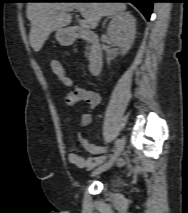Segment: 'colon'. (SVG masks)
<instances>
[{
    "mask_svg": "<svg viewBox=\"0 0 188 213\" xmlns=\"http://www.w3.org/2000/svg\"><path fill=\"white\" fill-rule=\"evenodd\" d=\"M50 66H51L52 71L54 72V74L58 78H60L61 80L65 81L67 83H69V79H68V77L66 75L65 69H64L63 65L59 61L52 60L50 62Z\"/></svg>",
    "mask_w": 188,
    "mask_h": 213,
    "instance_id": "colon-1",
    "label": "colon"
}]
</instances>
